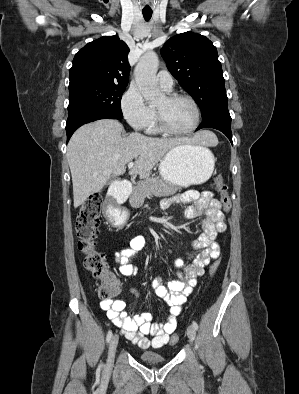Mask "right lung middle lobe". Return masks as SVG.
Wrapping results in <instances>:
<instances>
[{"mask_svg":"<svg viewBox=\"0 0 299 394\" xmlns=\"http://www.w3.org/2000/svg\"><path fill=\"white\" fill-rule=\"evenodd\" d=\"M125 89L126 86L105 83H88L69 87L68 111L92 108L123 118L120 102Z\"/></svg>","mask_w":299,"mask_h":394,"instance_id":"obj_1","label":"right lung middle lobe"}]
</instances>
